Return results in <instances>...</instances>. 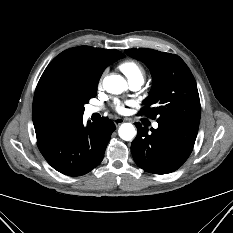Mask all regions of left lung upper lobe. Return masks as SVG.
Returning a JSON list of instances; mask_svg holds the SVG:
<instances>
[{
	"label": "left lung upper lobe",
	"mask_w": 233,
	"mask_h": 233,
	"mask_svg": "<svg viewBox=\"0 0 233 233\" xmlns=\"http://www.w3.org/2000/svg\"><path fill=\"white\" fill-rule=\"evenodd\" d=\"M125 53L144 62L153 77L150 96L140 114L157 122H200L201 107L195 79L177 55L153 49H126Z\"/></svg>",
	"instance_id": "left-lung-upper-lobe-1"
}]
</instances>
